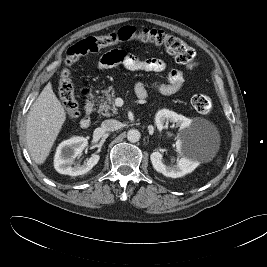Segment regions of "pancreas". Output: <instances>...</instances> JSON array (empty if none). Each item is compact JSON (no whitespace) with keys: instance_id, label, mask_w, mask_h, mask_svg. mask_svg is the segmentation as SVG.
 <instances>
[{"instance_id":"pancreas-1","label":"pancreas","mask_w":267,"mask_h":267,"mask_svg":"<svg viewBox=\"0 0 267 267\" xmlns=\"http://www.w3.org/2000/svg\"><path fill=\"white\" fill-rule=\"evenodd\" d=\"M102 93L103 95L99 96L98 113L106 117L117 114V108L114 104L116 94L114 89L109 87Z\"/></svg>"}]
</instances>
